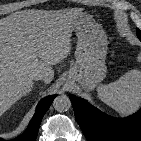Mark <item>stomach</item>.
<instances>
[{"mask_svg": "<svg viewBox=\"0 0 141 141\" xmlns=\"http://www.w3.org/2000/svg\"><path fill=\"white\" fill-rule=\"evenodd\" d=\"M74 31L78 39L76 62L68 72V79L77 82L84 91H91L106 77L107 37L87 14L81 15Z\"/></svg>", "mask_w": 141, "mask_h": 141, "instance_id": "obj_1", "label": "stomach"}]
</instances>
